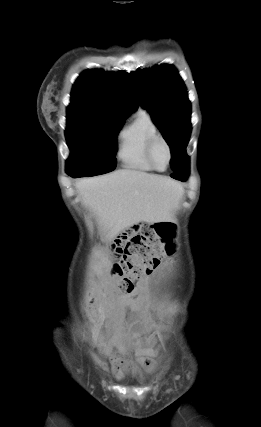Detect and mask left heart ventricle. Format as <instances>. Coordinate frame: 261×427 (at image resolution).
Here are the masks:
<instances>
[{"label": "left heart ventricle", "instance_id": "1", "mask_svg": "<svg viewBox=\"0 0 261 427\" xmlns=\"http://www.w3.org/2000/svg\"><path fill=\"white\" fill-rule=\"evenodd\" d=\"M154 160L158 168L164 169L166 167L168 162V152L162 143H158L155 148Z\"/></svg>", "mask_w": 261, "mask_h": 427}]
</instances>
